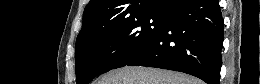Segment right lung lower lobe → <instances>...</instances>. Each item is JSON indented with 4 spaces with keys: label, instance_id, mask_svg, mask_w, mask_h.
<instances>
[{
    "label": "right lung lower lobe",
    "instance_id": "1",
    "mask_svg": "<svg viewBox=\"0 0 260 84\" xmlns=\"http://www.w3.org/2000/svg\"><path fill=\"white\" fill-rule=\"evenodd\" d=\"M223 35L218 0H187L167 14L162 32L127 65L180 71L219 84Z\"/></svg>",
    "mask_w": 260,
    "mask_h": 84
}]
</instances>
